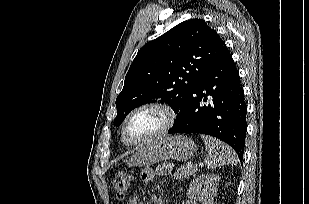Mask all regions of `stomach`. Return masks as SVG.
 Listing matches in <instances>:
<instances>
[{"label":"stomach","instance_id":"stomach-1","mask_svg":"<svg viewBox=\"0 0 309 204\" xmlns=\"http://www.w3.org/2000/svg\"><path fill=\"white\" fill-rule=\"evenodd\" d=\"M197 151L194 141L184 135L170 136L151 141L141 147L128 161L129 166H146L163 160L186 161Z\"/></svg>","mask_w":309,"mask_h":204}]
</instances>
